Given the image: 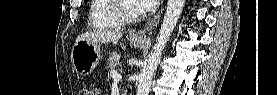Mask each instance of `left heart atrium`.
Listing matches in <instances>:
<instances>
[{
	"label": "left heart atrium",
	"mask_w": 277,
	"mask_h": 95,
	"mask_svg": "<svg viewBox=\"0 0 277 95\" xmlns=\"http://www.w3.org/2000/svg\"><path fill=\"white\" fill-rule=\"evenodd\" d=\"M137 1L140 4L141 9L146 11L153 9L159 3V0H137Z\"/></svg>",
	"instance_id": "left-heart-atrium-1"
}]
</instances>
